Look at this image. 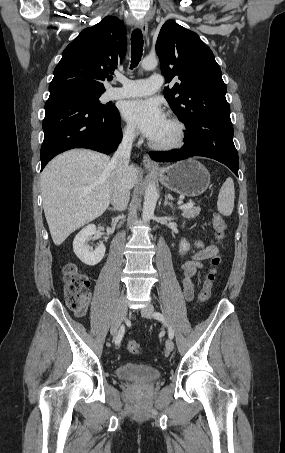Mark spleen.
I'll return each instance as SVG.
<instances>
[{
	"mask_svg": "<svg viewBox=\"0 0 285 453\" xmlns=\"http://www.w3.org/2000/svg\"><path fill=\"white\" fill-rule=\"evenodd\" d=\"M235 189L233 179L228 177L223 183L217 200V210L223 216H230L234 208Z\"/></svg>",
	"mask_w": 285,
	"mask_h": 453,
	"instance_id": "1",
	"label": "spleen"
}]
</instances>
